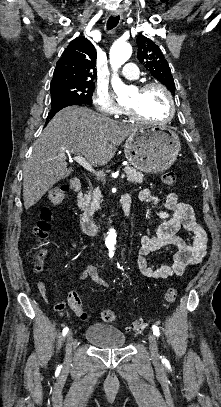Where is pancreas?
Returning a JSON list of instances; mask_svg holds the SVG:
<instances>
[{
  "label": "pancreas",
  "instance_id": "pancreas-1",
  "mask_svg": "<svg viewBox=\"0 0 221 407\" xmlns=\"http://www.w3.org/2000/svg\"><path fill=\"white\" fill-rule=\"evenodd\" d=\"M124 172L127 174V181L131 183H142L144 175L137 171L135 168L126 166ZM101 192L99 187L95 190L90 191L84 196L85 198V207L84 210L89 214L93 215L94 212L100 208L101 202Z\"/></svg>",
  "mask_w": 221,
  "mask_h": 407
}]
</instances>
